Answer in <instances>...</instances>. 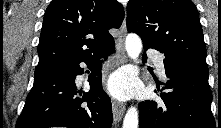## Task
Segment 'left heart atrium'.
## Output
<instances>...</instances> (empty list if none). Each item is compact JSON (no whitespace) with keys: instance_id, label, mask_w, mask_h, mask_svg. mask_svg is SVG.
Segmentation results:
<instances>
[{"instance_id":"1","label":"left heart atrium","mask_w":221,"mask_h":128,"mask_svg":"<svg viewBox=\"0 0 221 128\" xmlns=\"http://www.w3.org/2000/svg\"><path fill=\"white\" fill-rule=\"evenodd\" d=\"M108 90L114 97L126 99L134 90V81L126 72L116 73L109 81Z\"/></svg>"}]
</instances>
